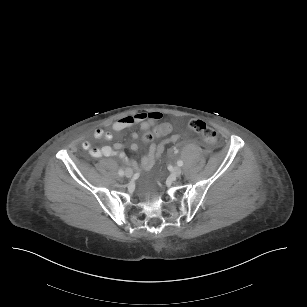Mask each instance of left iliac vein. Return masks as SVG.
Returning <instances> with one entry per match:
<instances>
[{"instance_id": "1", "label": "left iliac vein", "mask_w": 307, "mask_h": 307, "mask_svg": "<svg viewBox=\"0 0 307 307\" xmlns=\"http://www.w3.org/2000/svg\"><path fill=\"white\" fill-rule=\"evenodd\" d=\"M182 173V169L178 166L174 167V169L172 170V175L174 177H179Z\"/></svg>"}]
</instances>
